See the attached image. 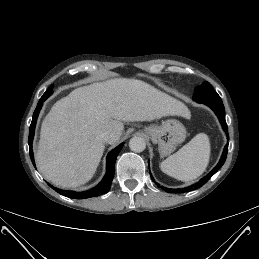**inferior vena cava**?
Returning <instances> with one entry per match:
<instances>
[{
    "mask_svg": "<svg viewBox=\"0 0 259 259\" xmlns=\"http://www.w3.org/2000/svg\"><path fill=\"white\" fill-rule=\"evenodd\" d=\"M110 138V133L108 131L102 132L98 135V139L103 142H108Z\"/></svg>",
    "mask_w": 259,
    "mask_h": 259,
    "instance_id": "inferior-vena-cava-1",
    "label": "inferior vena cava"
}]
</instances>
